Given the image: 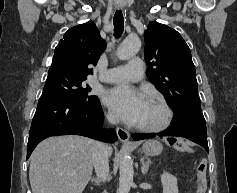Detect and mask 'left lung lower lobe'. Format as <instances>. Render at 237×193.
Listing matches in <instances>:
<instances>
[{"instance_id": "obj_1", "label": "left lung lower lobe", "mask_w": 237, "mask_h": 193, "mask_svg": "<svg viewBox=\"0 0 237 193\" xmlns=\"http://www.w3.org/2000/svg\"><path fill=\"white\" fill-rule=\"evenodd\" d=\"M156 136H177L187 138L200 146H202L207 152L208 142H207V131L206 124L193 121L182 124H172L169 128L160 132L159 134H132L134 140H142L153 138Z\"/></svg>"}]
</instances>
